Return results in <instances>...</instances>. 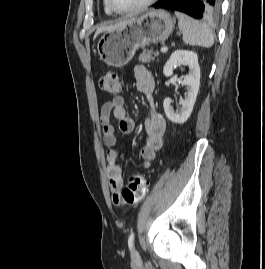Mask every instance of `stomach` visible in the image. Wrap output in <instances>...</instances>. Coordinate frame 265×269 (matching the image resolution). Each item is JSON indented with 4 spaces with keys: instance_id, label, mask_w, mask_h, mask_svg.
<instances>
[{
    "instance_id": "obj_1",
    "label": "stomach",
    "mask_w": 265,
    "mask_h": 269,
    "mask_svg": "<svg viewBox=\"0 0 265 269\" xmlns=\"http://www.w3.org/2000/svg\"><path fill=\"white\" fill-rule=\"evenodd\" d=\"M174 26V18L165 10H152L130 19L123 27L104 32L97 44L100 59L109 66L123 67L137 49L165 41Z\"/></svg>"
}]
</instances>
